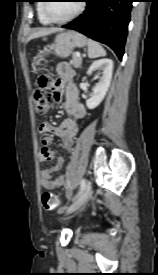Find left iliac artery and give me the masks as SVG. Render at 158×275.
<instances>
[{
  "label": "left iliac artery",
  "mask_w": 158,
  "mask_h": 275,
  "mask_svg": "<svg viewBox=\"0 0 158 275\" xmlns=\"http://www.w3.org/2000/svg\"><path fill=\"white\" fill-rule=\"evenodd\" d=\"M84 186H85V180L82 179V180H81V183H80V191H79L78 195L82 192Z\"/></svg>",
  "instance_id": "obj_1"
}]
</instances>
